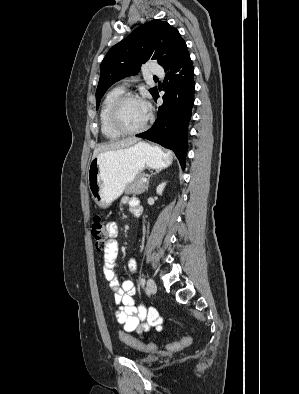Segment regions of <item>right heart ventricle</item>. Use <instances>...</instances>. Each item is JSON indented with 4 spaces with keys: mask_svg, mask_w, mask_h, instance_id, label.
Returning <instances> with one entry per match:
<instances>
[{
    "mask_svg": "<svg viewBox=\"0 0 299 394\" xmlns=\"http://www.w3.org/2000/svg\"><path fill=\"white\" fill-rule=\"evenodd\" d=\"M123 93H124V89L122 87L112 88L106 93L101 104V108L99 112L101 132L104 135V137L111 140L119 138L121 134L115 131L110 124V120H109L110 108L113 102Z\"/></svg>",
    "mask_w": 299,
    "mask_h": 394,
    "instance_id": "right-heart-ventricle-1",
    "label": "right heart ventricle"
}]
</instances>
